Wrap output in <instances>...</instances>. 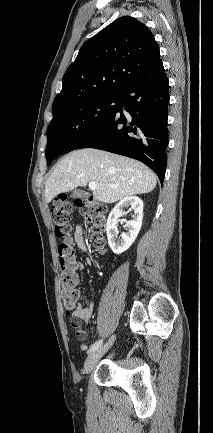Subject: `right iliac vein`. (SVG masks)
Here are the masks:
<instances>
[{"mask_svg":"<svg viewBox=\"0 0 213 433\" xmlns=\"http://www.w3.org/2000/svg\"><path fill=\"white\" fill-rule=\"evenodd\" d=\"M115 339V336H112L108 342H106L102 347L96 349L95 351L91 352L85 363H84V368H83V372L85 374H88L92 371V369L96 366V364L98 363V361L100 360V358L108 351V349L111 347V345L113 344Z\"/></svg>","mask_w":213,"mask_h":433,"instance_id":"1","label":"right iliac vein"}]
</instances>
